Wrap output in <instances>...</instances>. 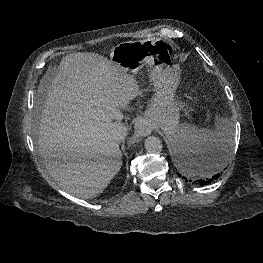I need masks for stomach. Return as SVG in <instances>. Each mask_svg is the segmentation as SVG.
<instances>
[{
    "mask_svg": "<svg viewBox=\"0 0 263 263\" xmlns=\"http://www.w3.org/2000/svg\"><path fill=\"white\" fill-rule=\"evenodd\" d=\"M110 58L113 63L133 74L138 73L145 64L148 65L154 95L144 119L160 127L171 138L177 131L180 111L184 108V104L175 96L180 82L176 45L162 39L122 42L112 49Z\"/></svg>",
    "mask_w": 263,
    "mask_h": 263,
    "instance_id": "1",
    "label": "stomach"
}]
</instances>
